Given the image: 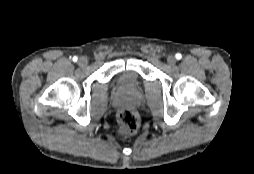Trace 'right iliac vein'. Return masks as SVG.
I'll list each match as a JSON object with an SVG mask.
<instances>
[{
    "mask_svg": "<svg viewBox=\"0 0 254 174\" xmlns=\"http://www.w3.org/2000/svg\"><path fill=\"white\" fill-rule=\"evenodd\" d=\"M78 64L81 66V67H85L87 66L88 64V59L86 57H80L78 59Z\"/></svg>",
    "mask_w": 254,
    "mask_h": 174,
    "instance_id": "right-iliac-vein-1",
    "label": "right iliac vein"
}]
</instances>
